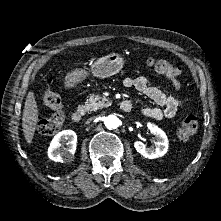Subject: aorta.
Returning <instances> with one entry per match:
<instances>
[{
  "instance_id": "762f6f07",
  "label": "aorta",
  "mask_w": 221,
  "mask_h": 221,
  "mask_svg": "<svg viewBox=\"0 0 221 221\" xmlns=\"http://www.w3.org/2000/svg\"><path fill=\"white\" fill-rule=\"evenodd\" d=\"M105 126L108 128V129H116L118 126H119V119L117 116L115 115H109L105 118Z\"/></svg>"
}]
</instances>
